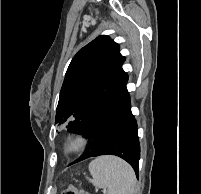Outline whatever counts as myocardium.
Segmentation results:
<instances>
[{
	"label": "myocardium",
	"mask_w": 201,
	"mask_h": 194,
	"mask_svg": "<svg viewBox=\"0 0 201 194\" xmlns=\"http://www.w3.org/2000/svg\"><path fill=\"white\" fill-rule=\"evenodd\" d=\"M88 144L89 138L86 134L76 133L65 140L63 151L68 156L78 155L85 151Z\"/></svg>",
	"instance_id": "f54148a6"
}]
</instances>
